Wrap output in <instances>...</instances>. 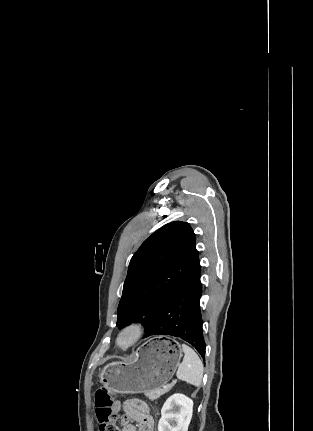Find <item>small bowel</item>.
<instances>
[{
    "mask_svg": "<svg viewBox=\"0 0 313 431\" xmlns=\"http://www.w3.org/2000/svg\"><path fill=\"white\" fill-rule=\"evenodd\" d=\"M113 409L122 413L119 422L120 431H153L154 418L149 406L139 399H128L124 402L115 401Z\"/></svg>",
    "mask_w": 313,
    "mask_h": 431,
    "instance_id": "1",
    "label": "small bowel"
}]
</instances>
